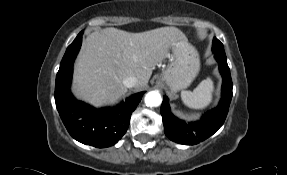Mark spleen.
Returning a JSON list of instances; mask_svg holds the SVG:
<instances>
[{
    "label": "spleen",
    "instance_id": "spleen-1",
    "mask_svg": "<svg viewBox=\"0 0 287 175\" xmlns=\"http://www.w3.org/2000/svg\"><path fill=\"white\" fill-rule=\"evenodd\" d=\"M214 84L210 77L203 80L193 91H182L183 103L192 109H205L213 99Z\"/></svg>",
    "mask_w": 287,
    "mask_h": 175
}]
</instances>
